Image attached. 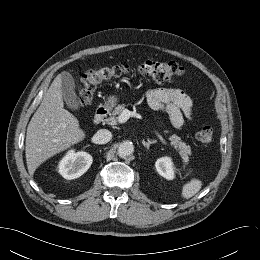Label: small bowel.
Returning a JSON list of instances; mask_svg holds the SVG:
<instances>
[{"label": "small bowel", "mask_w": 260, "mask_h": 260, "mask_svg": "<svg viewBox=\"0 0 260 260\" xmlns=\"http://www.w3.org/2000/svg\"><path fill=\"white\" fill-rule=\"evenodd\" d=\"M148 104L155 109L167 111L171 125L179 129L184 123V118H193L191 99L180 89L161 87L147 93Z\"/></svg>", "instance_id": "c3829d8e"}]
</instances>
